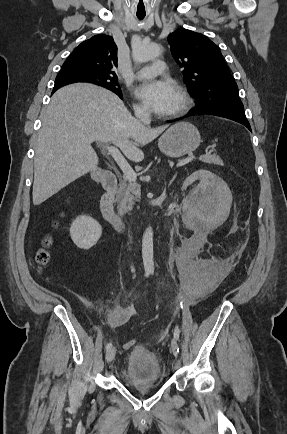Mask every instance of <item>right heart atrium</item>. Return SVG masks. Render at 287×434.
<instances>
[{"instance_id":"d8ad5b80","label":"right heart atrium","mask_w":287,"mask_h":434,"mask_svg":"<svg viewBox=\"0 0 287 434\" xmlns=\"http://www.w3.org/2000/svg\"><path fill=\"white\" fill-rule=\"evenodd\" d=\"M135 111L139 114H145L147 113V108L143 104H136L135 105Z\"/></svg>"}]
</instances>
